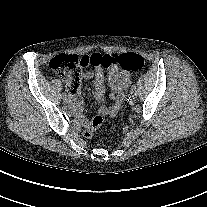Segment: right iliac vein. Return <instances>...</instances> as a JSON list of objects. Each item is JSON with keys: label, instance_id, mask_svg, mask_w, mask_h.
I'll return each mask as SVG.
<instances>
[{"label": "right iliac vein", "instance_id": "63e3f726", "mask_svg": "<svg viewBox=\"0 0 207 207\" xmlns=\"http://www.w3.org/2000/svg\"><path fill=\"white\" fill-rule=\"evenodd\" d=\"M63 100H64V102H65L66 104H69V103H70V100H69L68 97H64Z\"/></svg>", "mask_w": 207, "mask_h": 207}]
</instances>
